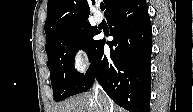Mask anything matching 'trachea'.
<instances>
[{
	"mask_svg": "<svg viewBox=\"0 0 193 112\" xmlns=\"http://www.w3.org/2000/svg\"><path fill=\"white\" fill-rule=\"evenodd\" d=\"M101 10H104V4L100 5Z\"/></svg>",
	"mask_w": 193,
	"mask_h": 112,
	"instance_id": "1",
	"label": "trachea"
}]
</instances>
